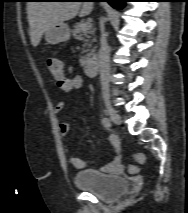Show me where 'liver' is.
<instances>
[{
  "instance_id": "obj_1",
  "label": "liver",
  "mask_w": 188,
  "mask_h": 213,
  "mask_svg": "<svg viewBox=\"0 0 188 213\" xmlns=\"http://www.w3.org/2000/svg\"><path fill=\"white\" fill-rule=\"evenodd\" d=\"M92 9L93 2H28L27 18L32 46L39 45L43 33L52 25L70 20L77 14L86 16Z\"/></svg>"
}]
</instances>
